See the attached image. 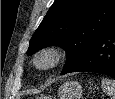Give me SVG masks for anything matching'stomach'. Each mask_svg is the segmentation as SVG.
<instances>
[{"instance_id": "0dacf381", "label": "stomach", "mask_w": 115, "mask_h": 99, "mask_svg": "<svg viewBox=\"0 0 115 99\" xmlns=\"http://www.w3.org/2000/svg\"><path fill=\"white\" fill-rule=\"evenodd\" d=\"M82 86L76 81H67L63 83L58 90L60 99H80L82 96ZM40 99H52L42 96Z\"/></svg>"}]
</instances>
